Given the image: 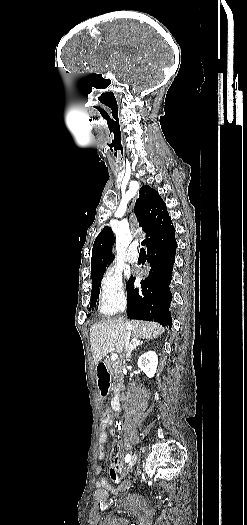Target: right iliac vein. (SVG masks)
Here are the masks:
<instances>
[{"mask_svg": "<svg viewBox=\"0 0 247 525\" xmlns=\"http://www.w3.org/2000/svg\"><path fill=\"white\" fill-rule=\"evenodd\" d=\"M136 460H137V454L135 453V454L133 455L132 460L130 461V463H129L127 469L125 470V473L123 474V476H125V475L130 471V469H131V468L133 467V465L135 464Z\"/></svg>", "mask_w": 247, "mask_h": 525, "instance_id": "right-iliac-vein-1", "label": "right iliac vein"}]
</instances>
